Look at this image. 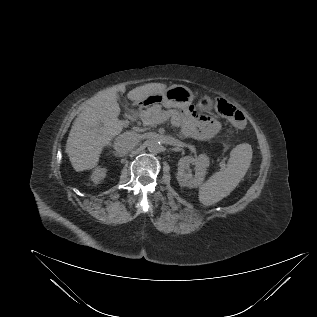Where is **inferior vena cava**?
Returning a JSON list of instances; mask_svg holds the SVG:
<instances>
[{"mask_svg":"<svg viewBox=\"0 0 317 317\" xmlns=\"http://www.w3.org/2000/svg\"><path fill=\"white\" fill-rule=\"evenodd\" d=\"M138 142L139 138L136 133L125 132L115 139L113 143V148L119 155L122 156L127 154L130 150H132Z\"/></svg>","mask_w":317,"mask_h":317,"instance_id":"inferior-vena-cava-1","label":"inferior vena cava"}]
</instances>
